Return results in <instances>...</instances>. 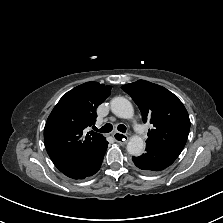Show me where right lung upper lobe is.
<instances>
[{"label": "right lung upper lobe", "instance_id": "1", "mask_svg": "<svg viewBox=\"0 0 223 223\" xmlns=\"http://www.w3.org/2000/svg\"><path fill=\"white\" fill-rule=\"evenodd\" d=\"M111 86L87 82L67 92L49 115L45 129L46 150L61 171L89 157L105 138L85 129L96 122V109L111 94Z\"/></svg>", "mask_w": 223, "mask_h": 223}]
</instances>
